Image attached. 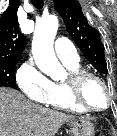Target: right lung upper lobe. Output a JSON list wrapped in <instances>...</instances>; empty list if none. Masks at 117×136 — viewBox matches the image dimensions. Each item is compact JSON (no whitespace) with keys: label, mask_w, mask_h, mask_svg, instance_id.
<instances>
[{"label":"right lung upper lobe","mask_w":117,"mask_h":136,"mask_svg":"<svg viewBox=\"0 0 117 136\" xmlns=\"http://www.w3.org/2000/svg\"><path fill=\"white\" fill-rule=\"evenodd\" d=\"M19 5L20 0H10L9 7L0 18V61H17L24 51L26 37L19 30Z\"/></svg>","instance_id":"right-lung-upper-lobe-1"}]
</instances>
